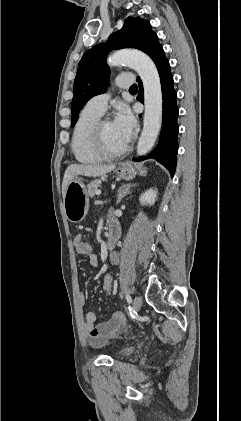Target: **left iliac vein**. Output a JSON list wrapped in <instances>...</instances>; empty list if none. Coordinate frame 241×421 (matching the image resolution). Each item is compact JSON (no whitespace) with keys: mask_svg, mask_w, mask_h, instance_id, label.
<instances>
[{"mask_svg":"<svg viewBox=\"0 0 241 421\" xmlns=\"http://www.w3.org/2000/svg\"><path fill=\"white\" fill-rule=\"evenodd\" d=\"M142 306V298L140 296H136L133 299V308L136 311H139L141 309Z\"/></svg>","mask_w":241,"mask_h":421,"instance_id":"left-iliac-vein-1","label":"left iliac vein"}]
</instances>
